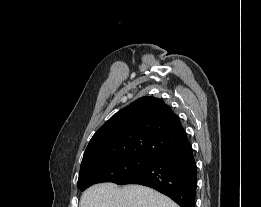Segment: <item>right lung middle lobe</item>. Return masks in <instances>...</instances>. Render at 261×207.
<instances>
[{
    "label": "right lung middle lobe",
    "mask_w": 261,
    "mask_h": 207,
    "mask_svg": "<svg viewBox=\"0 0 261 207\" xmlns=\"http://www.w3.org/2000/svg\"><path fill=\"white\" fill-rule=\"evenodd\" d=\"M156 160L152 157L133 155L80 167L78 187L84 191L96 183L113 182L118 184L125 178L151 166Z\"/></svg>",
    "instance_id": "obj_1"
}]
</instances>
